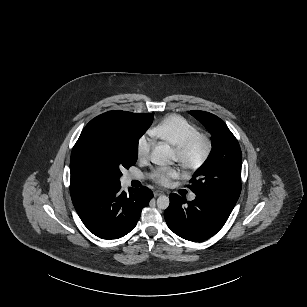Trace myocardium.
Here are the masks:
<instances>
[{
	"mask_svg": "<svg viewBox=\"0 0 307 307\" xmlns=\"http://www.w3.org/2000/svg\"><path fill=\"white\" fill-rule=\"evenodd\" d=\"M212 141L204 135H196L182 146L172 149L176 155L177 161L187 170L197 171L208 160L212 153ZM198 151V155L193 157L194 151Z\"/></svg>",
	"mask_w": 307,
	"mask_h": 307,
	"instance_id": "myocardium-1",
	"label": "myocardium"
}]
</instances>
